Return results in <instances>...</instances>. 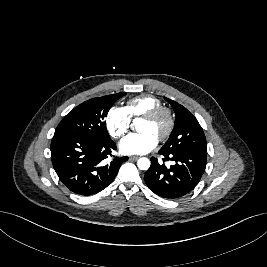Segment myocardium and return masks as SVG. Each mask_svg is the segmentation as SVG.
<instances>
[{
	"label": "myocardium",
	"mask_w": 267,
	"mask_h": 267,
	"mask_svg": "<svg viewBox=\"0 0 267 267\" xmlns=\"http://www.w3.org/2000/svg\"><path fill=\"white\" fill-rule=\"evenodd\" d=\"M161 117H164L166 120L165 129L161 133V135L158 137V140L162 142V141L167 140L170 137L174 129L175 118H174L172 111L168 107L159 106V107H156L150 110L145 115H143L142 119L147 120V121H156L160 119Z\"/></svg>",
	"instance_id": "1"
}]
</instances>
